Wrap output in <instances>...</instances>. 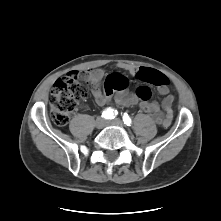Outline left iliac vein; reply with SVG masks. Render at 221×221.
Listing matches in <instances>:
<instances>
[{"label": "left iliac vein", "instance_id": "obj_1", "mask_svg": "<svg viewBox=\"0 0 221 221\" xmlns=\"http://www.w3.org/2000/svg\"><path fill=\"white\" fill-rule=\"evenodd\" d=\"M106 125H116V126H122L123 123L120 119H114V120H111V121H107L106 122Z\"/></svg>", "mask_w": 221, "mask_h": 221}]
</instances>
